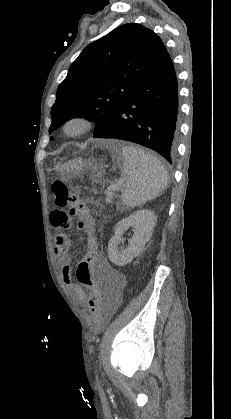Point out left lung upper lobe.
I'll use <instances>...</instances> for the list:
<instances>
[{"instance_id": "1", "label": "left lung upper lobe", "mask_w": 231, "mask_h": 419, "mask_svg": "<svg viewBox=\"0 0 231 419\" xmlns=\"http://www.w3.org/2000/svg\"><path fill=\"white\" fill-rule=\"evenodd\" d=\"M166 54L161 39L136 23L122 25L88 45L57 89L49 133L83 116L96 121L94 135L102 131L134 85Z\"/></svg>"}]
</instances>
